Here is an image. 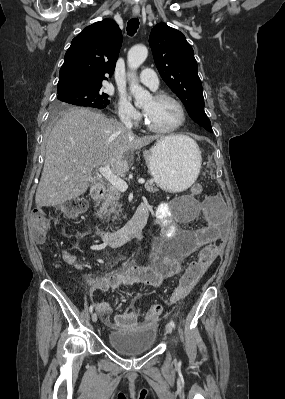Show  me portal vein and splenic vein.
Masks as SVG:
<instances>
[{"instance_id": "1", "label": "portal vein and splenic vein", "mask_w": 285, "mask_h": 399, "mask_svg": "<svg viewBox=\"0 0 285 399\" xmlns=\"http://www.w3.org/2000/svg\"><path fill=\"white\" fill-rule=\"evenodd\" d=\"M98 170H99L100 174L103 177H105V179H107L109 181V183L112 186L116 187L119 191L125 192L128 189L127 183L111 171L109 164L99 167ZM138 183L144 184L145 180L139 179Z\"/></svg>"}]
</instances>
